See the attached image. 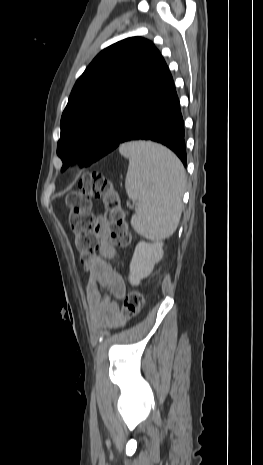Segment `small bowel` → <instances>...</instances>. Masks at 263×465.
<instances>
[{
	"instance_id": "c3829d8e",
	"label": "small bowel",
	"mask_w": 263,
	"mask_h": 465,
	"mask_svg": "<svg viewBox=\"0 0 263 465\" xmlns=\"http://www.w3.org/2000/svg\"><path fill=\"white\" fill-rule=\"evenodd\" d=\"M97 236L100 241L98 255L93 261L87 282L89 317L97 327L114 326L118 327L115 330L116 334H129V328H132L134 323L121 322L119 309V300L126 292V285L121 274L107 262L115 257L116 250L109 241L108 231L103 225L98 227ZM102 288L111 296L103 294Z\"/></svg>"
}]
</instances>
